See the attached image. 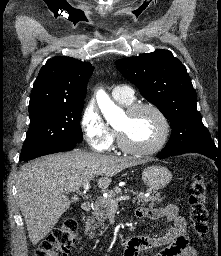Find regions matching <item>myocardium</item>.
Segmentation results:
<instances>
[{
    "mask_svg": "<svg viewBox=\"0 0 221 256\" xmlns=\"http://www.w3.org/2000/svg\"><path fill=\"white\" fill-rule=\"evenodd\" d=\"M150 110L152 111L160 121L161 124V133L157 141L148 147H134L129 145L119 129H116L117 132V142L120 149L128 154L133 155H140V156H147L152 155L160 151L165 144L167 143L169 136H170V122L166 114L163 110L154 103L151 102H138L132 103L127 106L126 114L134 115L135 113L139 112L140 110Z\"/></svg>",
    "mask_w": 221,
    "mask_h": 256,
    "instance_id": "myocardium-1",
    "label": "myocardium"
}]
</instances>
